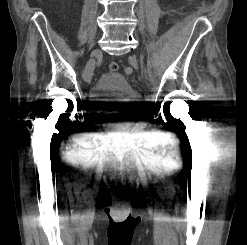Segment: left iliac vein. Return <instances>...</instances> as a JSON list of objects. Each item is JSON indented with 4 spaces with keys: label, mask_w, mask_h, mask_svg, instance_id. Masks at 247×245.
Instances as JSON below:
<instances>
[{
    "label": "left iliac vein",
    "mask_w": 247,
    "mask_h": 245,
    "mask_svg": "<svg viewBox=\"0 0 247 245\" xmlns=\"http://www.w3.org/2000/svg\"><path fill=\"white\" fill-rule=\"evenodd\" d=\"M129 61H130V64H131L133 67H136V66H137V60H136L133 56H130V57H129Z\"/></svg>",
    "instance_id": "obj_1"
}]
</instances>
